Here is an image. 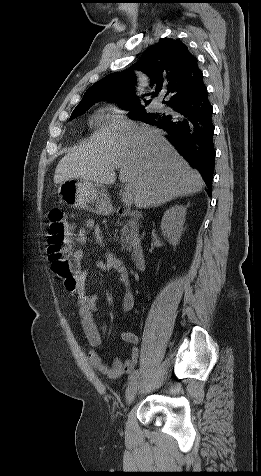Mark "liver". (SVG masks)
Here are the masks:
<instances>
[{"instance_id": "liver-1", "label": "liver", "mask_w": 261, "mask_h": 476, "mask_svg": "<svg viewBox=\"0 0 261 476\" xmlns=\"http://www.w3.org/2000/svg\"><path fill=\"white\" fill-rule=\"evenodd\" d=\"M116 169L139 209L200 192L205 185L161 130L124 119L112 121L68 152L55 169L54 182L82 179L110 185Z\"/></svg>"}]
</instances>
